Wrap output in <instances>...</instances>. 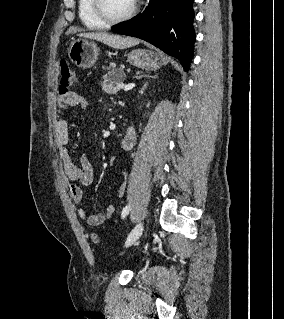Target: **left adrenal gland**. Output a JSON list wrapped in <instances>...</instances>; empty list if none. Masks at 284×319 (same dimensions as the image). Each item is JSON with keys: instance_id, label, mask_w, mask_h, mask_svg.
Masks as SVG:
<instances>
[{"instance_id": "obj_1", "label": "left adrenal gland", "mask_w": 284, "mask_h": 319, "mask_svg": "<svg viewBox=\"0 0 284 319\" xmlns=\"http://www.w3.org/2000/svg\"><path fill=\"white\" fill-rule=\"evenodd\" d=\"M147 85H148V82H146V83L144 84V86L141 88V90L139 91V93H140L141 95H143V93H144V91H145Z\"/></svg>"}]
</instances>
